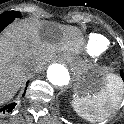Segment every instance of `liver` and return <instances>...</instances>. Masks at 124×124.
<instances>
[{"mask_svg":"<svg viewBox=\"0 0 124 124\" xmlns=\"http://www.w3.org/2000/svg\"><path fill=\"white\" fill-rule=\"evenodd\" d=\"M83 43L80 31L71 26L59 29L40 22L12 26L0 39V105L10 100L27 75L31 62L41 69L57 52L78 54Z\"/></svg>","mask_w":124,"mask_h":124,"instance_id":"obj_1","label":"liver"}]
</instances>
